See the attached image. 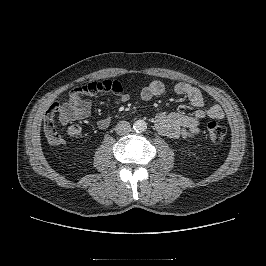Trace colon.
<instances>
[{
	"instance_id": "obj_1",
	"label": "colon",
	"mask_w": 266,
	"mask_h": 266,
	"mask_svg": "<svg viewBox=\"0 0 266 266\" xmlns=\"http://www.w3.org/2000/svg\"><path fill=\"white\" fill-rule=\"evenodd\" d=\"M121 93L122 86L116 80L105 79L101 81L89 82L85 85L77 87L70 92V96H93L98 93ZM56 126V115L50 109L45 116V127L48 131L54 130ZM207 134L212 144H220L226 136V128L215 121L207 125Z\"/></svg>"
}]
</instances>
